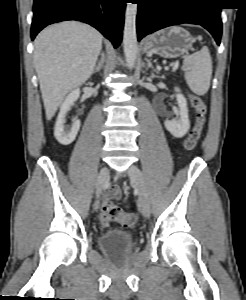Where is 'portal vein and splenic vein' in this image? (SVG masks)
<instances>
[{"instance_id":"18ae733b","label":"portal vein and splenic vein","mask_w":246,"mask_h":300,"mask_svg":"<svg viewBox=\"0 0 246 300\" xmlns=\"http://www.w3.org/2000/svg\"><path fill=\"white\" fill-rule=\"evenodd\" d=\"M177 68H178V63H176V64L174 65V67H173V71H176V70H177Z\"/></svg>"}]
</instances>
